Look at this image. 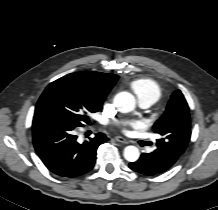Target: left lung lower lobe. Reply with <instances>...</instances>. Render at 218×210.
Instances as JSON below:
<instances>
[{
    "mask_svg": "<svg viewBox=\"0 0 218 210\" xmlns=\"http://www.w3.org/2000/svg\"><path fill=\"white\" fill-rule=\"evenodd\" d=\"M180 156L178 154L172 157L166 156L161 149L157 148L152 153H143L136 162L130 163L129 167L138 173L152 176L171 168Z\"/></svg>",
    "mask_w": 218,
    "mask_h": 210,
    "instance_id": "left-lung-lower-lobe-1",
    "label": "left lung lower lobe"
}]
</instances>
